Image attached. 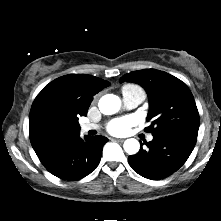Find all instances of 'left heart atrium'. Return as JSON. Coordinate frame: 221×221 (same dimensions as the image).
Here are the masks:
<instances>
[{
	"instance_id": "obj_1",
	"label": "left heart atrium",
	"mask_w": 221,
	"mask_h": 221,
	"mask_svg": "<svg viewBox=\"0 0 221 221\" xmlns=\"http://www.w3.org/2000/svg\"><path fill=\"white\" fill-rule=\"evenodd\" d=\"M134 124L132 117H124L111 121L108 125V131L114 135L126 134L130 127Z\"/></svg>"
}]
</instances>
